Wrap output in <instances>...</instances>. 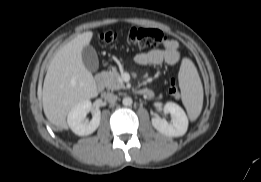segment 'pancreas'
Masks as SVG:
<instances>
[{
    "instance_id": "obj_1",
    "label": "pancreas",
    "mask_w": 261,
    "mask_h": 182,
    "mask_svg": "<svg viewBox=\"0 0 261 182\" xmlns=\"http://www.w3.org/2000/svg\"><path fill=\"white\" fill-rule=\"evenodd\" d=\"M101 77L104 80V84L109 90H119L125 88L124 83L121 81L120 75L116 70L103 71Z\"/></svg>"
}]
</instances>
